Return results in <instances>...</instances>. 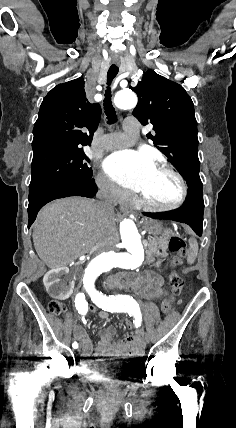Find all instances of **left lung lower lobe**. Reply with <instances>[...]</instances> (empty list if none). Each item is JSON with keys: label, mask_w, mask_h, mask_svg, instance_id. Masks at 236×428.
Masks as SVG:
<instances>
[{"label": "left lung lower lobe", "mask_w": 236, "mask_h": 428, "mask_svg": "<svg viewBox=\"0 0 236 428\" xmlns=\"http://www.w3.org/2000/svg\"><path fill=\"white\" fill-rule=\"evenodd\" d=\"M203 211L204 201L202 187H191L188 188L187 198L182 207L168 212H144L143 214L153 219H165L186 223L197 235L201 236L203 229Z\"/></svg>", "instance_id": "1"}]
</instances>
